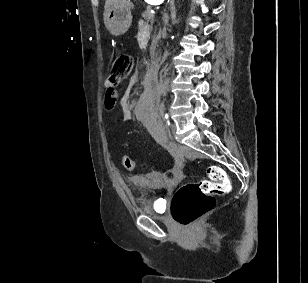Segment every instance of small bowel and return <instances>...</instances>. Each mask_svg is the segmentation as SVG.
I'll return each mask as SVG.
<instances>
[{"instance_id": "small-bowel-1", "label": "small bowel", "mask_w": 308, "mask_h": 283, "mask_svg": "<svg viewBox=\"0 0 308 283\" xmlns=\"http://www.w3.org/2000/svg\"><path fill=\"white\" fill-rule=\"evenodd\" d=\"M144 30H148L144 23H140L139 25V33L138 40L140 38L141 33ZM136 82V77H132L130 80V84H134ZM105 87V106L107 110L111 111L114 109L115 105L119 99V92L117 90V85L106 81L104 84ZM128 92H126L120 99V105L123 112V121H130L133 116H135L138 120H144L148 117L150 104L148 100L143 96L136 101L129 102L128 101Z\"/></svg>"}]
</instances>
